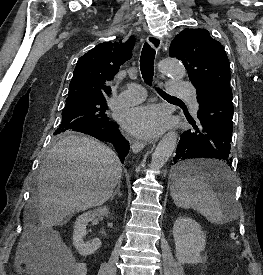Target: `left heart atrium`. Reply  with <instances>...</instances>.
I'll return each instance as SVG.
<instances>
[{
  "instance_id": "39dd6f15",
  "label": "left heart atrium",
  "mask_w": 263,
  "mask_h": 275,
  "mask_svg": "<svg viewBox=\"0 0 263 275\" xmlns=\"http://www.w3.org/2000/svg\"><path fill=\"white\" fill-rule=\"evenodd\" d=\"M123 126L137 137L160 133L166 125V116L157 106H140L127 111L122 117Z\"/></svg>"
}]
</instances>
